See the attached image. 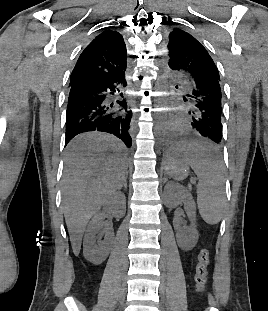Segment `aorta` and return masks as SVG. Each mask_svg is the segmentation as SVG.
I'll return each instance as SVG.
<instances>
[{
  "label": "aorta",
  "instance_id": "aorta-1",
  "mask_svg": "<svg viewBox=\"0 0 268 311\" xmlns=\"http://www.w3.org/2000/svg\"><path fill=\"white\" fill-rule=\"evenodd\" d=\"M157 79H154V111H155V136L156 148L160 149L163 145L166 134V98L167 89L165 87L166 72L160 70L156 74Z\"/></svg>",
  "mask_w": 268,
  "mask_h": 311
}]
</instances>
